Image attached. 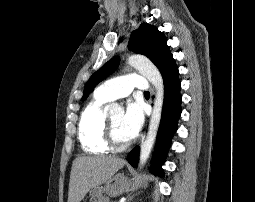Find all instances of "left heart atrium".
<instances>
[{
    "label": "left heart atrium",
    "instance_id": "obj_1",
    "mask_svg": "<svg viewBox=\"0 0 255 202\" xmlns=\"http://www.w3.org/2000/svg\"><path fill=\"white\" fill-rule=\"evenodd\" d=\"M144 122L143 108L140 103L130 102L123 117V123L128 133L135 137Z\"/></svg>",
    "mask_w": 255,
    "mask_h": 202
}]
</instances>
